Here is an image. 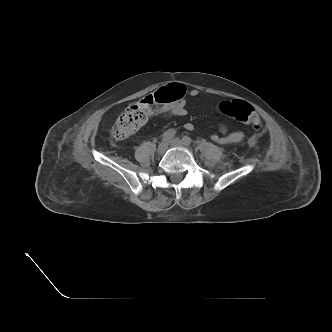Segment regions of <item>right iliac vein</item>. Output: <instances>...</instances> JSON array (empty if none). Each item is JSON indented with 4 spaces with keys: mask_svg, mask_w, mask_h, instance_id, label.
I'll return each instance as SVG.
<instances>
[{
    "mask_svg": "<svg viewBox=\"0 0 332 332\" xmlns=\"http://www.w3.org/2000/svg\"><path fill=\"white\" fill-rule=\"evenodd\" d=\"M168 144V141L162 140V142L158 145L157 153L160 155L164 154L168 148Z\"/></svg>",
    "mask_w": 332,
    "mask_h": 332,
    "instance_id": "63e3f726",
    "label": "right iliac vein"
}]
</instances>
